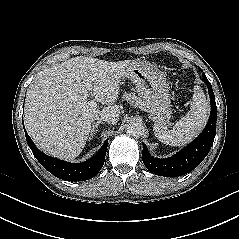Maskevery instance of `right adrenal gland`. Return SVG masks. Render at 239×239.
I'll use <instances>...</instances> for the list:
<instances>
[{
  "label": "right adrenal gland",
  "instance_id": "1",
  "mask_svg": "<svg viewBox=\"0 0 239 239\" xmlns=\"http://www.w3.org/2000/svg\"><path fill=\"white\" fill-rule=\"evenodd\" d=\"M100 123H101L100 121H97V122H94V123L92 124L89 141L92 140V138H93L94 135L96 134L97 128H98V126H99Z\"/></svg>",
  "mask_w": 239,
  "mask_h": 239
}]
</instances>
